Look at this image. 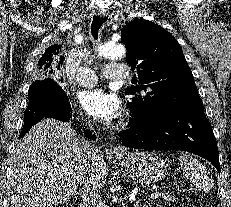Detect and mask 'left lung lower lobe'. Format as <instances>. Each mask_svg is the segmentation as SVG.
Here are the masks:
<instances>
[{"label":"left lung lower lobe","mask_w":231,"mask_h":207,"mask_svg":"<svg viewBox=\"0 0 231 207\" xmlns=\"http://www.w3.org/2000/svg\"><path fill=\"white\" fill-rule=\"evenodd\" d=\"M130 124L128 130L119 133L125 146L191 152L210 161L220 173L217 143L203 105L153 120L133 117Z\"/></svg>","instance_id":"obj_1"}]
</instances>
